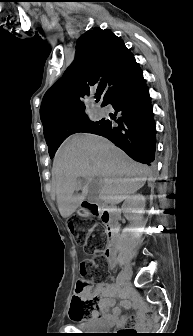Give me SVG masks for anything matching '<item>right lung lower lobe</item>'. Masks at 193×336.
<instances>
[{
  "label": "right lung lower lobe",
  "instance_id": "1",
  "mask_svg": "<svg viewBox=\"0 0 193 336\" xmlns=\"http://www.w3.org/2000/svg\"><path fill=\"white\" fill-rule=\"evenodd\" d=\"M111 104L115 118L105 119L94 134L101 135L134 160L150 165L155 159V124L150 96L139 65L135 62L117 81L104 102Z\"/></svg>",
  "mask_w": 193,
  "mask_h": 336
}]
</instances>
